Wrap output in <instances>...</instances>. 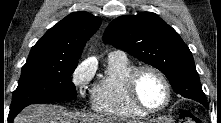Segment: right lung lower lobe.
Returning a JSON list of instances; mask_svg holds the SVG:
<instances>
[{
    "instance_id": "1",
    "label": "right lung lower lobe",
    "mask_w": 221,
    "mask_h": 123,
    "mask_svg": "<svg viewBox=\"0 0 221 123\" xmlns=\"http://www.w3.org/2000/svg\"><path fill=\"white\" fill-rule=\"evenodd\" d=\"M18 114V113H17ZM17 114H11L9 113V119L12 120Z\"/></svg>"
}]
</instances>
